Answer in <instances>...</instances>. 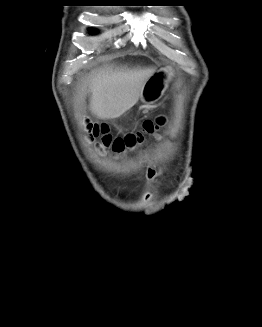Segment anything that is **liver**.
Here are the masks:
<instances>
[{"instance_id":"liver-1","label":"liver","mask_w":262,"mask_h":327,"mask_svg":"<svg viewBox=\"0 0 262 327\" xmlns=\"http://www.w3.org/2000/svg\"><path fill=\"white\" fill-rule=\"evenodd\" d=\"M156 67L106 65L93 71L84 87H88L89 110L98 119H115L130 110L140 99L147 80Z\"/></svg>"}]
</instances>
